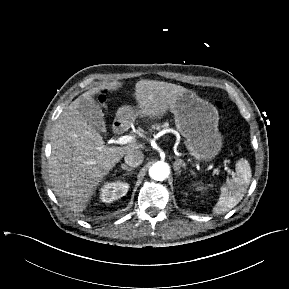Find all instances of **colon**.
Returning a JSON list of instances; mask_svg holds the SVG:
<instances>
[{
  "label": "colon",
  "instance_id": "obj_1",
  "mask_svg": "<svg viewBox=\"0 0 289 289\" xmlns=\"http://www.w3.org/2000/svg\"><path fill=\"white\" fill-rule=\"evenodd\" d=\"M216 107H217L219 110H222V109H223V104H222V102L217 101V102H216Z\"/></svg>",
  "mask_w": 289,
  "mask_h": 289
}]
</instances>
